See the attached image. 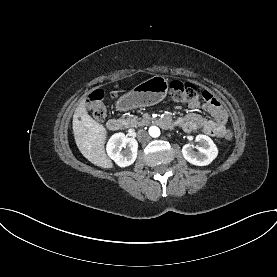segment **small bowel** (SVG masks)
Returning <instances> with one entry per match:
<instances>
[{
  "label": "small bowel",
  "mask_w": 277,
  "mask_h": 277,
  "mask_svg": "<svg viewBox=\"0 0 277 277\" xmlns=\"http://www.w3.org/2000/svg\"><path fill=\"white\" fill-rule=\"evenodd\" d=\"M201 96L204 103H200L196 99L190 102L188 106L194 110L202 108L209 114L210 118L203 117L198 113L190 112L175 120H172L169 116H166L164 119H166L171 126L181 127L187 132H194L201 129L209 136L224 138L228 118L226 110L211 92L203 91Z\"/></svg>",
  "instance_id": "small-bowel-1"
}]
</instances>
